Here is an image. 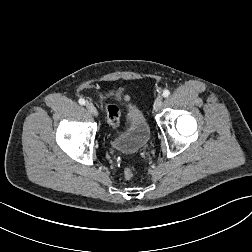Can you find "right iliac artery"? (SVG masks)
<instances>
[{
    "label": "right iliac artery",
    "instance_id": "82829eb1",
    "mask_svg": "<svg viewBox=\"0 0 252 252\" xmlns=\"http://www.w3.org/2000/svg\"><path fill=\"white\" fill-rule=\"evenodd\" d=\"M78 102H79L80 105H85V100L82 99V98H80Z\"/></svg>",
    "mask_w": 252,
    "mask_h": 252
}]
</instances>
